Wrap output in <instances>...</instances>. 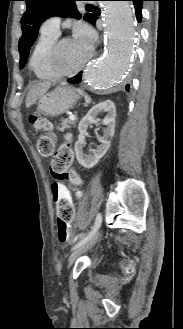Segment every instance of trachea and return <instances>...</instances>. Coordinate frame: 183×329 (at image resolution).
<instances>
[{
  "label": "trachea",
  "instance_id": "trachea-1",
  "mask_svg": "<svg viewBox=\"0 0 183 329\" xmlns=\"http://www.w3.org/2000/svg\"><path fill=\"white\" fill-rule=\"evenodd\" d=\"M86 6H87V7H90L91 5L88 4V5H86Z\"/></svg>",
  "mask_w": 183,
  "mask_h": 329
}]
</instances>
